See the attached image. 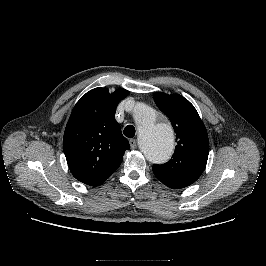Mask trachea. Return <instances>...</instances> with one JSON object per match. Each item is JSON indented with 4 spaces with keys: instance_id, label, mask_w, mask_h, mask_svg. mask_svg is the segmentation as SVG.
Returning <instances> with one entry per match:
<instances>
[{
    "instance_id": "1",
    "label": "trachea",
    "mask_w": 266,
    "mask_h": 266,
    "mask_svg": "<svg viewBox=\"0 0 266 266\" xmlns=\"http://www.w3.org/2000/svg\"><path fill=\"white\" fill-rule=\"evenodd\" d=\"M124 135L128 138H132L135 135V128L132 125H128L125 127L123 131Z\"/></svg>"
}]
</instances>
